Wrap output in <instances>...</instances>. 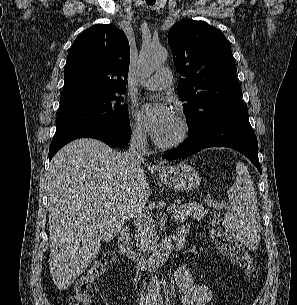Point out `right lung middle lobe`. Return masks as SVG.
<instances>
[{
  "label": "right lung middle lobe",
  "instance_id": "right-lung-middle-lobe-1",
  "mask_svg": "<svg viewBox=\"0 0 297 305\" xmlns=\"http://www.w3.org/2000/svg\"><path fill=\"white\" fill-rule=\"evenodd\" d=\"M125 90L97 92L60 100L56 132L51 145L55 146L71 134L94 126H128V108L121 96Z\"/></svg>",
  "mask_w": 297,
  "mask_h": 305
}]
</instances>
